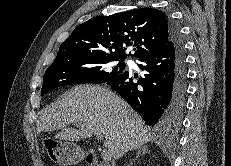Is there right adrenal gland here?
I'll return each mask as SVG.
<instances>
[{
  "instance_id": "2a0ac1e0",
  "label": "right adrenal gland",
  "mask_w": 231,
  "mask_h": 166,
  "mask_svg": "<svg viewBox=\"0 0 231 166\" xmlns=\"http://www.w3.org/2000/svg\"><path fill=\"white\" fill-rule=\"evenodd\" d=\"M149 153H150V151L147 149V146H143V147L138 148L136 151L135 159L133 161H131V163L127 166H131L133 164V162L135 160H137L140 155L149 154Z\"/></svg>"
}]
</instances>
